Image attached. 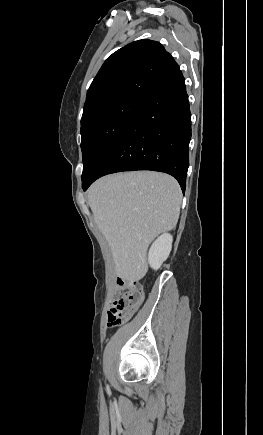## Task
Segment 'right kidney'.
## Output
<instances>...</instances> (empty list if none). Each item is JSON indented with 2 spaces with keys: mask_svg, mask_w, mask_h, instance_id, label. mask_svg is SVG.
Masks as SVG:
<instances>
[{
  "mask_svg": "<svg viewBox=\"0 0 263 435\" xmlns=\"http://www.w3.org/2000/svg\"><path fill=\"white\" fill-rule=\"evenodd\" d=\"M172 242L173 237L169 233H163L153 242L149 250L148 262L154 270L159 269L168 258L172 249Z\"/></svg>",
  "mask_w": 263,
  "mask_h": 435,
  "instance_id": "right-kidney-1",
  "label": "right kidney"
}]
</instances>
